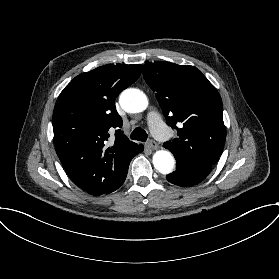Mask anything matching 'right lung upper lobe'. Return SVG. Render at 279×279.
<instances>
[{"label":"right lung upper lobe","mask_w":279,"mask_h":279,"mask_svg":"<svg viewBox=\"0 0 279 279\" xmlns=\"http://www.w3.org/2000/svg\"><path fill=\"white\" fill-rule=\"evenodd\" d=\"M142 65L108 64L76 76L61 92L53 112L56 153L70 179L85 192H113L127 175L131 159L143 145L119 129L115 108L120 92L134 83ZM115 141L108 147L109 129Z\"/></svg>","instance_id":"cb5924a9"}]
</instances>
